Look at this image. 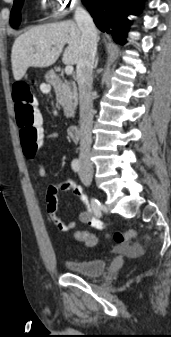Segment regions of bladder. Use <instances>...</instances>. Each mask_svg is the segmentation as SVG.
Here are the masks:
<instances>
[{"label": "bladder", "mask_w": 171, "mask_h": 337, "mask_svg": "<svg viewBox=\"0 0 171 337\" xmlns=\"http://www.w3.org/2000/svg\"><path fill=\"white\" fill-rule=\"evenodd\" d=\"M65 264L71 273L86 277L100 276L106 269V261L103 259H69Z\"/></svg>", "instance_id": "bladder-1"}]
</instances>
